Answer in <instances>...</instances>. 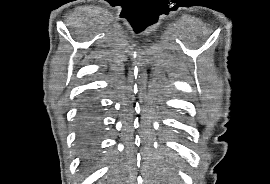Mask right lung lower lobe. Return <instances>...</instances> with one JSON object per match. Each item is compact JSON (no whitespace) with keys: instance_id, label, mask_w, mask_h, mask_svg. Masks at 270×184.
Listing matches in <instances>:
<instances>
[{"instance_id":"obj_1","label":"right lung lower lobe","mask_w":270,"mask_h":184,"mask_svg":"<svg viewBox=\"0 0 270 184\" xmlns=\"http://www.w3.org/2000/svg\"><path fill=\"white\" fill-rule=\"evenodd\" d=\"M80 139L86 148H90L97 133V124L94 120V110L91 104H86L81 111Z\"/></svg>"}]
</instances>
